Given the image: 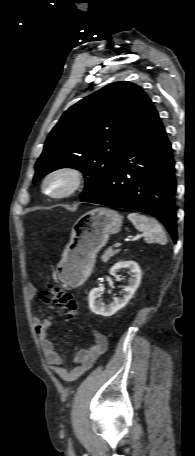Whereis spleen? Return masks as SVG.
<instances>
[{
    "mask_svg": "<svg viewBox=\"0 0 195 456\" xmlns=\"http://www.w3.org/2000/svg\"><path fill=\"white\" fill-rule=\"evenodd\" d=\"M128 219L138 231L143 233L147 241H158L166 244V234L162 226L154 218L139 213H130L128 214Z\"/></svg>",
    "mask_w": 195,
    "mask_h": 456,
    "instance_id": "1",
    "label": "spleen"
}]
</instances>
